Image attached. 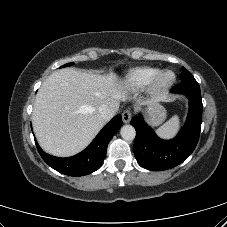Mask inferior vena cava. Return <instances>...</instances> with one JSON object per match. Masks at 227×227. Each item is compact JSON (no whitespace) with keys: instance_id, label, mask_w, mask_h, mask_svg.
I'll return each instance as SVG.
<instances>
[{"instance_id":"inferior-vena-cava-1","label":"inferior vena cava","mask_w":227,"mask_h":227,"mask_svg":"<svg viewBox=\"0 0 227 227\" xmlns=\"http://www.w3.org/2000/svg\"><path fill=\"white\" fill-rule=\"evenodd\" d=\"M98 111L101 117L107 121L111 119L115 114V111L108 107L106 104L99 106Z\"/></svg>"}]
</instances>
